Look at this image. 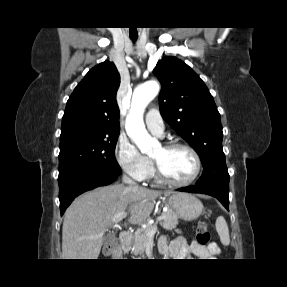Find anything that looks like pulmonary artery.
Here are the masks:
<instances>
[{"label": "pulmonary artery", "instance_id": "e3ab8cb5", "mask_svg": "<svg viewBox=\"0 0 287 287\" xmlns=\"http://www.w3.org/2000/svg\"><path fill=\"white\" fill-rule=\"evenodd\" d=\"M145 122L148 129L158 135L161 136L164 132V123L157 109H151L148 111L145 117Z\"/></svg>", "mask_w": 287, "mask_h": 287}]
</instances>
